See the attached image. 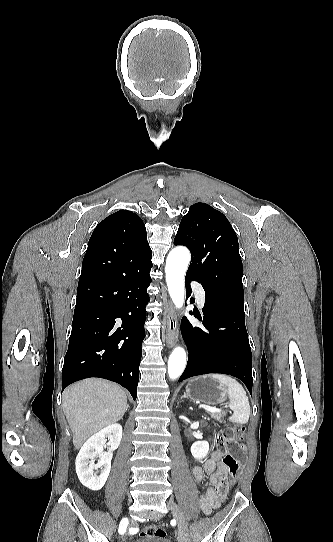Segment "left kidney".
<instances>
[{
  "instance_id": "5707ae66",
  "label": "left kidney",
  "mask_w": 333,
  "mask_h": 542,
  "mask_svg": "<svg viewBox=\"0 0 333 542\" xmlns=\"http://www.w3.org/2000/svg\"><path fill=\"white\" fill-rule=\"evenodd\" d=\"M209 452L208 442H194L191 446V454L196 460H202Z\"/></svg>"
}]
</instances>
